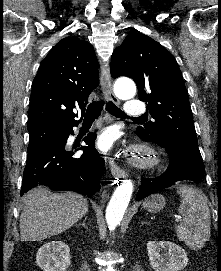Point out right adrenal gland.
<instances>
[{
    "label": "right adrenal gland",
    "instance_id": "right-adrenal-gland-1",
    "mask_svg": "<svg viewBox=\"0 0 221 271\" xmlns=\"http://www.w3.org/2000/svg\"><path fill=\"white\" fill-rule=\"evenodd\" d=\"M86 219H87V215H85L83 219V223H76V225H84V227H86Z\"/></svg>",
    "mask_w": 221,
    "mask_h": 271
}]
</instances>
